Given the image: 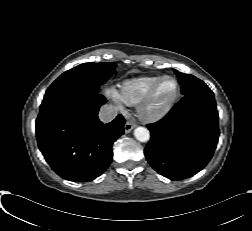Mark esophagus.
<instances>
[{
  "instance_id": "obj_1",
  "label": "esophagus",
  "mask_w": 252,
  "mask_h": 231,
  "mask_svg": "<svg viewBox=\"0 0 252 231\" xmlns=\"http://www.w3.org/2000/svg\"><path fill=\"white\" fill-rule=\"evenodd\" d=\"M135 126H136V124H135L134 122H132V121H127V122L125 123V126H124V131H125V133L131 132V131L134 129Z\"/></svg>"
}]
</instances>
